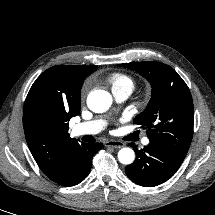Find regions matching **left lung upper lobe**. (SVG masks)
Here are the masks:
<instances>
[{"label": "left lung upper lobe", "instance_id": "5c2ea615", "mask_svg": "<svg viewBox=\"0 0 215 215\" xmlns=\"http://www.w3.org/2000/svg\"><path fill=\"white\" fill-rule=\"evenodd\" d=\"M119 65L137 70L152 86L150 102L134 122L147 129L150 142L185 157L194 124L193 101L186 83L166 64L133 62Z\"/></svg>", "mask_w": 215, "mask_h": 215}]
</instances>
